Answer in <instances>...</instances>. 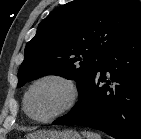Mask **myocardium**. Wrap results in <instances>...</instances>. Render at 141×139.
Here are the masks:
<instances>
[{"label":"myocardium","instance_id":"obj_1","mask_svg":"<svg viewBox=\"0 0 141 139\" xmlns=\"http://www.w3.org/2000/svg\"><path fill=\"white\" fill-rule=\"evenodd\" d=\"M49 80L58 81L66 86L68 93H69L68 100L65 103V105L60 110H58L56 113H54L53 115L46 117V118H37V117L33 116L29 111V107H28L29 96H30L31 92L33 91V89L38 84H40L44 81H49ZM80 95H81V92H80L79 85L72 78H70L66 75H63V74H59V73L45 74V75L40 76L36 80H34L30 84V86L28 87V89L24 95V99H23L24 110H25V113L27 114V116L30 119H32L33 121H36L39 123H48V122H51V121L65 115L69 111H71L77 105V103L80 99Z\"/></svg>","mask_w":141,"mask_h":139}]
</instances>
